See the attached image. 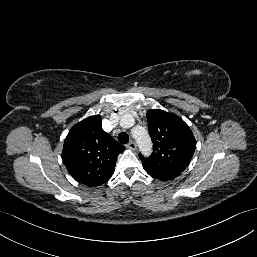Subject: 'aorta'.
I'll return each instance as SVG.
<instances>
[{"label":"aorta","instance_id":"aorta-1","mask_svg":"<svg viewBox=\"0 0 257 257\" xmlns=\"http://www.w3.org/2000/svg\"><path fill=\"white\" fill-rule=\"evenodd\" d=\"M132 120V116L124 115L121 118V125L126 126V122ZM132 135L135 138L140 150L144 154H149L152 151V142L145 128L137 126L132 130Z\"/></svg>","mask_w":257,"mask_h":257}]
</instances>
